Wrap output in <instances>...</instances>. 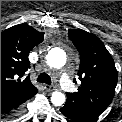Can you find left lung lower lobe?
Instances as JSON below:
<instances>
[{
	"label": "left lung lower lobe",
	"instance_id": "1",
	"mask_svg": "<svg viewBox=\"0 0 122 122\" xmlns=\"http://www.w3.org/2000/svg\"><path fill=\"white\" fill-rule=\"evenodd\" d=\"M61 113L67 118L77 122H88L97 118L100 112L67 98L66 103L60 108Z\"/></svg>",
	"mask_w": 122,
	"mask_h": 122
}]
</instances>
